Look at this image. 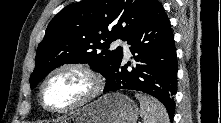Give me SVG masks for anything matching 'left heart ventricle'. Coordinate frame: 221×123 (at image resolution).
Listing matches in <instances>:
<instances>
[{
	"instance_id": "1",
	"label": "left heart ventricle",
	"mask_w": 221,
	"mask_h": 123,
	"mask_svg": "<svg viewBox=\"0 0 221 123\" xmlns=\"http://www.w3.org/2000/svg\"><path fill=\"white\" fill-rule=\"evenodd\" d=\"M91 86L92 83L85 74L74 70L61 71L47 83L45 101L52 107L64 108L84 98Z\"/></svg>"
}]
</instances>
